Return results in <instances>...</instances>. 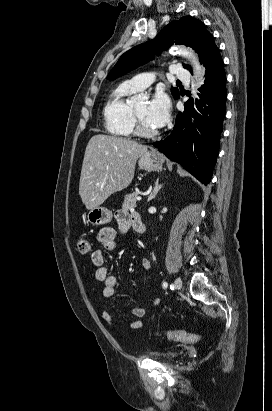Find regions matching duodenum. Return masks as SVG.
I'll return each instance as SVG.
<instances>
[{
    "label": "duodenum",
    "mask_w": 272,
    "mask_h": 411,
    "mask_svg": "<svg viewBox=\"0 0 272 411\" xmlns=\"http://www.w3.org/2000/svg\"><path fill=\"white\" fill-rule=\"evenodd\" d=\"M134 229L139 234H144L146 232V227L144 223L140 220L139 216H133L132 218Z\"/></svg>",
    "instance_id": "410a0bca"
}]
</instances>
